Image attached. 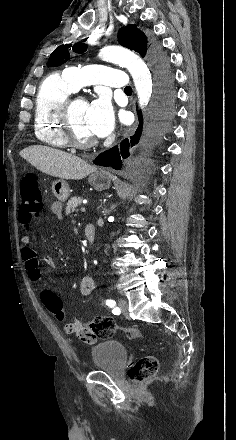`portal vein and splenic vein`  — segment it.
Instances as JSON below:
<instances>
[{
    "label": "portal vein and splenic vein",
    "instance_id": "obj_1",
    "mask_svg": "<svg viewBox=\"0 0 236 440\" xmlns=\"http://www.w3.org/2000/svg\"><path fill=\"white\" fill-rule=\"evenodd\" d=\"M80 210H81L82 212H85V211H86L85 207H82Z\"/></svg>",
    "mask_w": 236,
    "mask_h": 440
}]
</instances>
